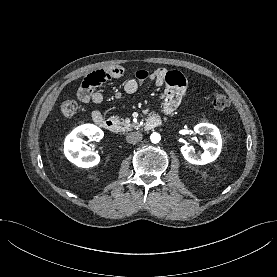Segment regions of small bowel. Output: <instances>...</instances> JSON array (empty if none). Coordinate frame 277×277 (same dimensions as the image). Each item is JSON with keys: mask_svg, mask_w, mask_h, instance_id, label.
<instances>
[{"mask_svg": "<svg viewBox=\"0 0 277 277\" xmlns=\"http://www.w3.org/2000/svg\"><path fill=\"white\" fill-rule=\"evenodd\" d=\"M124 70L121 66H110L96 70L87 75L77 91L78 99L83 103L93 102L99 104L103 101V93L97 89L101 84L117 79L122 76ZM154 82L160 90V106L165 114L173 113L181 104L187 89V82L182 73L169 71L165 68H158L153 71L138 70L134 77L125 81L123 90L127 94H134L144 82ZM116 99L122 97V92L114 94ZM104 118L98 110L93 111L92 119Z\"/></svg>", "mask_w": 277, "mask_h": 277, "instance_id": "c3829d8e", "label": "small bowel"}]
</instances>
